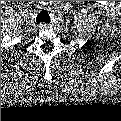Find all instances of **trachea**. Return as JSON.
Instances as JSON below:
<instances>
[{
	"label": "trachea",
	"mask_w": 121,
	"mask_h": 121,
	"mask_svg": "<svg viewBox=\"0 0 121 121\" xmlns=\"http://www.w3.org/2000/svg\"><path fill=\"white\" fill-rule=\"evenodd\" d=\"M37 23H41V22H50V17L47 11H41L37 18H36Z\"/></svg>",
	"instance_id": "trachea-1"
}]
</instances>
